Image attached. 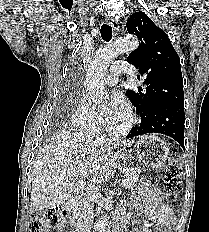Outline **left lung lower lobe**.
Wrapping results in <instances>:
<instances>
[{
  "label": "left lung lower lobe",
  "mask_w": 209,
  "mask_h": 232,
  "mask_svg": "<svg viewBox=\"0 0 209 232\" xmlns=\"http://www.w3.org/2000/svg\"><path fill=\"white\" fill-rule=\"evenodd\" d=\"M184 103L159 106L141 117L139 126L133 127L127 138L148 133H160L176 140L184 147Z\"/></svg>",
  "instance_id": "left-lung-lower-lobe-1"
}]
</instances>
